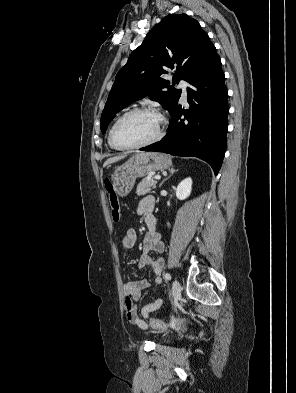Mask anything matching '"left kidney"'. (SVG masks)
<instances>
[{"mask_svg":"<svg viewBox=\"0 0 296 393\" xmlns=\"http://www.w3.org/2000/svg\"><path fill=\"white\" fill-rule=\"evenodd\" d=\"M192 190V179L190 177L184 179L179 183L176 189V197L179 200H184L191 194Z\"/></svg>","mask_w":296,"mask_h":393,"instance_id":"1","label":"left kidney"}]
</instances>
